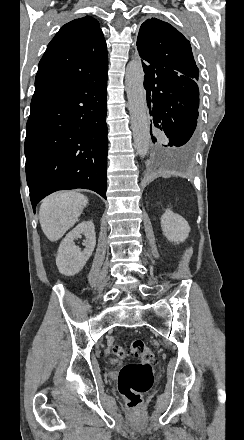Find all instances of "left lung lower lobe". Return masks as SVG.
<instances>
[{"mask_svg":"<svg viewBox=\"0 0 244 440\" xmlns=\"http://www.w3.org/2000/svg\"><path fill=\"white\" fill-rule=\"evenodd\" d=\"M144 88L147 105L152 116L150 146L153 154L189 151L195 140V129L199 108L197 80L180 76L176 72L160 67H143ZM152 126L162 130L169 138L167 144H155Z\"/></svg>","mask_w":244,"mask_h":440,"instance_id":"0a47b994","label":"left lung lower lobe"}]
</instances>
